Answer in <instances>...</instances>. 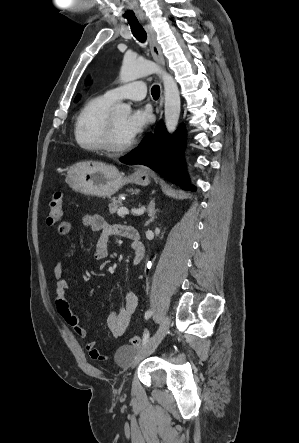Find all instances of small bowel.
Instances as JSON below:
<instances>
[{
  "label": "small bowel",
  "mask_w": 299,
  "mask_h": 443,
  "mask_svg": "<svg viewBox=\"0 0 299 443\" xmlns=\"http://www.w3.org/2000/svg\"><path fill=\"white\" fill-rule=\"evenodd\" d=\"M80 223L90 228L92 231L99 233L95 258L97 260L106 259L109 255L108 252V240L113 234L120 235L128 238L127 233L129 226L125 225H111L99 215H83L80 218ZM72 225L70 222H62L57 229L59 236L65 237L71 234ZM143 258V254H137L134 252L131 259V265L136 266ZM66 267L61 262H56L54 266V276L56 279L55 286V305L57 312L64 319V321L74 330V332L80 338H86L88 332L82 325L81 320L77 314H75L70 307V304L66 298V291L68 283L66 280ZM123 307L119 311H112L106 316V325L110 334L114 338L122 337L127 331L132 315L136 311L138 305V296L134 291H126L123 297ZM86 348L91 358L96 360H104L107 357L98 349L95 341H88Z\"/></svg>",
  "instance_id": "c3829d8e"
}]
</instances>
